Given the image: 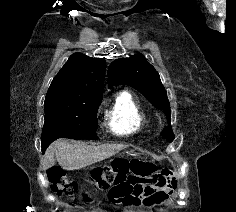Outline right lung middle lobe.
Returning a JSON list of instances; mask_svg holds the SVG:
<instances>
[{
    "mask_svg": "<svg viewBox=\"0 0 236 212\" xmlns=\"http://www.w3.org/2000/svg\"><path fill=\"white\" fill-rule=\"evenodd\" d=\"M102 98L81 102L45 101L42 151L57 138L96 140L97 110Z\"/></svg>",
    "mask_w": 236,
    "mask_h": 212,
    "instance_id": "obj_1",
    "label": "right lung middle lobe"
}]
</instances>
